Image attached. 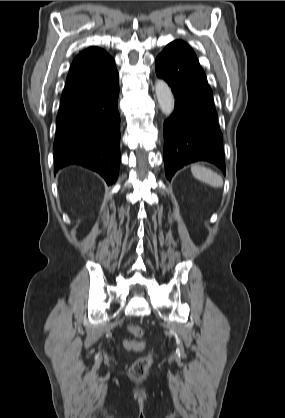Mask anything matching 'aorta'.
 Returning a JSON list of instances; mask_svg holds the SVG:
<instances>
[{
  "label": "aorta",
  "mask_w": 285,
  "mask_h": 418,
  "mask_svg": "<svg viewBox=\"0 0 285 418\" xmlns=\"http://www.w3.org/2000/svg\"><path fill=\"white\" fill-rule=\"evenodd\" d=\"M155 93L161 111L166 116H170L174 110V96L170 87L164 80L157 79Z\"/></svg>",
  "instance_id": "obj_1"
}]
</instances>
